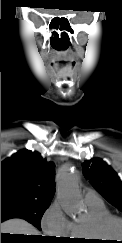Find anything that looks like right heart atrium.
<instances>
[{"mask_svg":"<svg viewBox=\"0 0 122 243\" xmlns=\"http://www.w3.org/2000/svg\"><path fill=\"white\" fill-rule=\"evenodd\" d=\"M41 227L46 234L53 237L66 238L70 235L71 221L59 201L53 202L45 211Z\"/></svg>","mask_w":122,"mask_h":243,"instance_id":"right-heart-atrium-1","label":"right heart atrium"}]
</instances>
